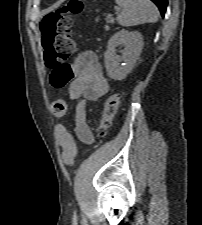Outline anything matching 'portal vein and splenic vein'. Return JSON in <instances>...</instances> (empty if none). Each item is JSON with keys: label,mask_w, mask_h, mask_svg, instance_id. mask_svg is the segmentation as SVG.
<instances>
[{"label": "portal vein and splenic vein", "mask_w": 202, "mask_h": 225, "mask_svg": "<svg viewBox=\"0 0 202 225\" xmlns=\"http://www.w3.org/2000/svg\"><path fill=\"white\" fill-rule=\"evenodd\" d=\"M118 12H119V9L116 10V13H118ZM109 20H110L111 23L114 22V18L113 17H111Z\"/></svg>", "instance_id": "portal-vein-and-splenic-vein-1"}]
</instances>
